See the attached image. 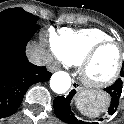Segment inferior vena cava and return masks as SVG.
<instances>
[{
	"mask_svg": "<svg viewBox=\"0 0 124 124\" xmlns=\"http://www.w3.org/2000/svg\"><path fill=\"white\" fill-rule=\"evenodd\" d=\"M29 61L35 65L41 66L45 63L46 57L39 51H32L28 54Z\"/></svg>",
	"mask_w": 124,
	"mask_h": 124,
	"instance_id": "1",
	"label": "inferior vena cava"
}]
</instances>
